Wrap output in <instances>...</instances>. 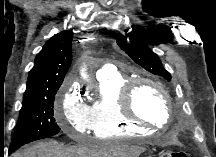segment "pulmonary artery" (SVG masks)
Wrapping results in <instances>:
<instances>
[{
    "mask_svg": "<svg viewBox=\"0 0 216 157\" xmlns=\"http://www.w3.org/2000/svg\"><path fill=\"white\" fill-rule=\"evenodd\" d=\"M115 73H116V68L114 65L105 64L98 69L96 76H97V79H101L104 77L114 75Z\"/></svg>",
    "mask_w": 216,
    "mask_h": 157,
    "instance_id": "obj_1",
    "label": "pulmonary artery"
}]
</instances>
